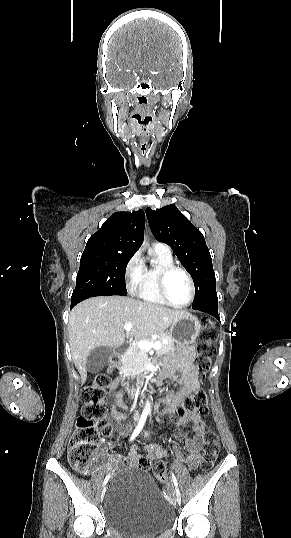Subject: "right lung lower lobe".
<instances>
[{
	"instance_id": "right-lung-lower-lobe-1",
	"label": "right lung lower lobe",
	"mask_w": 291,
	"mask_h": 538,
	"mask_svg": "<svg viewBox=\"0 0 291 538\" xmlns=\"http://www.w3.org/2000/svg\"><path fill=\"white\" fill-rule=\"evenodd\" d=\"M81 302V301H80ZM79 302H71V309Z\"/></svg>"
}]
</instances>
